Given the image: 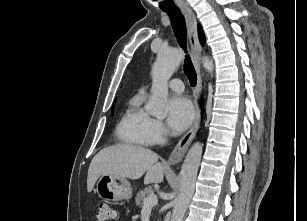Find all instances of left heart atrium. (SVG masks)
I'll return each mask as SVG.
<instances>
[{
    "mask_svg": "<svg viewBox=\"0 0 307 221\" xmlns=\"http://www.w3.org/2000/svg\"><path fill=\"white\" fill-rule=\"evenodd\" d=\"M194 111L190 101L184 97H174L167 106V125L174 134L186 130L192 123Z\"/></svg>",
    "mask_w": 307,
    "mask_h": 221,
    "instance_id": "left-heart-atrium-1",
    "label": "left heart atrium"
}]
</instances>
